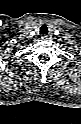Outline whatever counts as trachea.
Returning a JSON list of instances; mask_svg holds the SVG:
<instances>
[{
	"label": "trachea",
	"instance_id": "3493384b",
	"mask_svg": "<svg viewBox=\"0 0 81 124\" xmlns=\"http://www.w3.org/2000/svg\"><path fill=\"white\" fill-rule=\"evenodd\" d=\"M39 32H40L41 35L42 34L47 35L48 34V27L45 26V25L41 26Z\"/></svg>",
	"mask_w": 81,
	"mask_h": 124
}]
</instances>
